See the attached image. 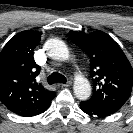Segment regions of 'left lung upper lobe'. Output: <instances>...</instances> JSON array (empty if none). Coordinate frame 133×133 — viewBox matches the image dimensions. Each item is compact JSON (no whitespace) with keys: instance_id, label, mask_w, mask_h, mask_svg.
<instances>
[{"instance_id":"left-lung-upper-lobe-1","label":"left lung upper lobe","mask_w":133,"mask_h":133,"mask_svg":"<svg viewBox=\"0 0 133 133\" xmlns=\"http://www.w3.org/2000/svg\"><path fill=\"white\" fill-rule=\"evenodd\" d=\"M69 35L90 59L94 92L87 102L118 111L130 97L133 86V69L124 52L102 31H70Z\"/></svg>"}]
</instances>
